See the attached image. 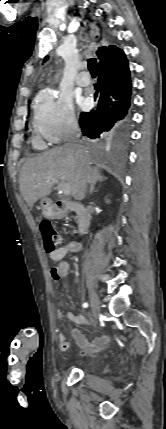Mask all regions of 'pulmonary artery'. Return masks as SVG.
Instances as JSON below:
<instances>
[{"instance_id": "1", "label": "pulmonary artery", "mask_w": 166, "mask_h": 429, "mask_svg": "<svg viewBox=\"0 0 166 429\" xmlns=\"http://www.w3.org/2000/svg\"><path fill=\"white\" fill-rule=\"evenodd\" d=\"M85 66H81V69L83 70ZM76 83L81 87H86L89 85L90 80L89 77H87V73L84 71H81L79 75L76 78Z\"/></svg>"}]
</instances>
